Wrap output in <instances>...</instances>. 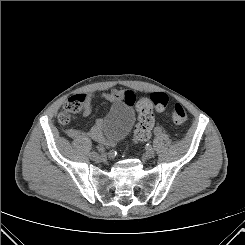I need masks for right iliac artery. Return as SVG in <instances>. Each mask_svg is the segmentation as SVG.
<instances>
[{
    "label": "right iliac artery",
    "instance_id": "obj_1",
    "mask_svg": "<svg viewBox=\"0 0 245 245\" xmlns=\"http://www.w3.org/2000/svg\"><path fill=\"white\" fill-rule=\"evenodd\" d=\"M99 153L102 154L103 156L107 155V152L104 150V147L99 145L98 147Z\"/></svg>",
    "mask_w": 245,
    "mask_h": 245
}]
</instances>
